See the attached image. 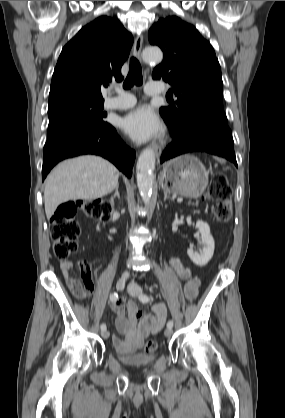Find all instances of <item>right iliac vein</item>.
Here are the masks:
<instances>
[{
	"label": "right iliac vein",
	"instance_id": "63e3f726",
	"mask_svg": "<svg viewBox=\"0 0 285 418\" xmlns=\"http://www.w3.org/2000/svg\"><path fill=\"white\" fill-rule=\"evenodd\" d=\"M125 282H126V276H122L116 283L117 290H122L125 286ZM101 336L103 338H108L109 337V331L108 330L101 331Z\"/></svg>",
	"mask_w": 285,
	"mask_h": 418
}]
</instances>
